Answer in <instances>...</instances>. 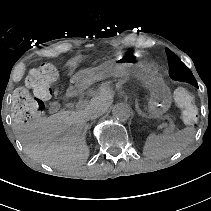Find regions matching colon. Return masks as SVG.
Instances as JSON below:
<instances>
[{
    "mask_svg": "<svg viewBox=\"0 0 211 211\" xmlns=\"http://www.w3.org/2000/svg\"><path fill=\"white\" fill-rule=\"evenodd\" d=\"M59 74L52 64H43L29 72L26 77V88H18L13 93L12 118L18 123H27L41 116L44 112V101L52 95L53 86ZM174 100L181 110L185 124L195 125L198 121V108L194 96L185 88L174 92Z\"/></svg>",
    "mask_w": 211,
    "mask_h": 211,
    "instance_id": "5ec220e1",
    "label": "colon"
}]
</instances>
